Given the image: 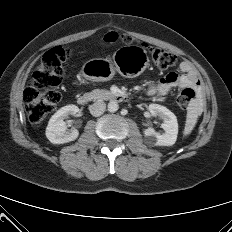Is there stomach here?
<instances>
[{
	"label": "stomach",
	"instance_id": "0dacf381",
	"mask_svg": "<svg viewBox=\"0 0 232 232\" xmlns=\"http://www.w3.org/2000/svg\"><path fill=\"white\" fill-rule=\"evenodd\" d=\"M149 65V57L145 49L139 46H123L116 50L113 60L96 58L87 61L82 67V75L86 80L103 82L111 80L118 72L124 77L140 75Z\"/></svg>",
	"mask_w": 232,
	"mask_h": 232
}]
</instances>
